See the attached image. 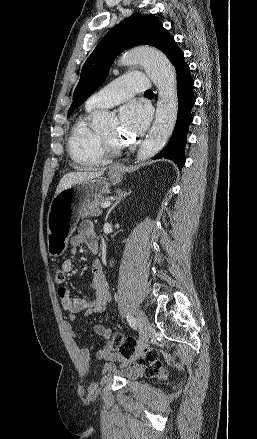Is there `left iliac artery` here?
Returning <instances> with one entry per match:
<instances>
[{"instance_id":"1","label":"left iliac artery","mask_w":257,"mask_h":439,"mask_svg":"<svg viewBox=\"0 0 257 439\" xmlns=\"http://www.w3.org/2000/svg\"><path fill=\"white\" fill-rule=\"evenodd\" d=\"M127 321H128V323L130 324V326L132 328L136 329V321H135V318L133 316L128 315L127 316Z\"/></svg>"}]
</instances>
